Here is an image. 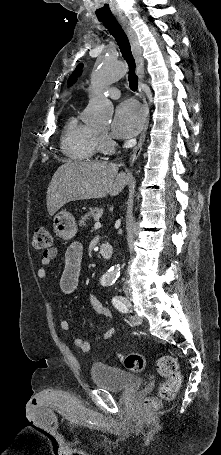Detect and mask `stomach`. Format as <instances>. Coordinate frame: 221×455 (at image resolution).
Returning <instances> with one entry per match:
<instances>
[{
	"label": "stomach",
	"instance_id": "0dacf381",
	"mask_svg": "<svg viewBox=\"0 0 221 455\" xmlns=\"http://www.w3.org/2000/svg\"><path fill=\"white\" fill-rule=\"evenodd\" d=\"M53 230L64 240H71L77 233L75 218L66 210L57 213L53 219Z\"/></svg>",
	"mask_w": 221,
	"mask_h": 455
}]
</instances>
